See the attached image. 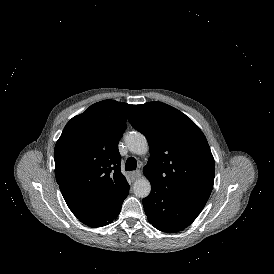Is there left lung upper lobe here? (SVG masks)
<instances>
[{
  "mask_svg": "<svg viewBox=\"0 0 274 274\" xmlns=\"http://www.w3.org/2000/svg\"><path fill=\"white\" fill-rule=\"evenodd\" d=\"M128 120L148 140L151 156L144 174L150 183L205 204L213 188L215 165L199 127L162 102L136 105Z\"/></svg>",
  "mask_w": 274,
  "mask_h": 274,
  "instance_id": "1",
  "label": "left lung upper lobe"
}]
</instances>
